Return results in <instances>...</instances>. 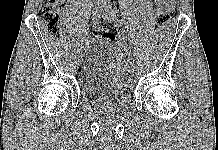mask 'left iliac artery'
<instances>
[{
  "label": "left iliac artery",
  "instance_id": "left-iliac-artery-1",
  "mask_svg": "<svg viewBox=\"0 0 218 150\" xmlns=\"http://www.w3.org/2000/svg\"><path fill=\"white\" fill-rule=\"evenodd\" d=\"M125 21L122 19L121 21L117 20V23H118V26L119 28L122 30L124 28V26L126 25L124 23ZM132 58H135V57H132ZM127 62V70L129 68H133V63H130V61H126Z\"/></svg>",
  "mask_w": 218,
  "mask_h": 150
}]
</instances>
